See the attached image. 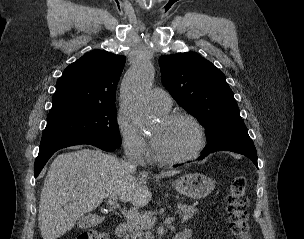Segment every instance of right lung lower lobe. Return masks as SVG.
<instances>
[{
	"instance_id": "98d812e1",
	"label": "right lung lower lobe",
	"mask_w": 304,
	"mask_h": 239,
	"mask_svg": "<svg viewBox=\"0 0 304 239\" xmlns=\"http://www.w3.org/2000/svg\"><path fill=\"white\" fill-rule=\"evenodd\" d=\"M80 144H90L107 152H113L117 149L116 146L110 143L93 138L68 137L42 140L40 143L39 154L34 165L35 177L39 175L46 162L57 150Z\"/></svg>"
}]
</instances>
